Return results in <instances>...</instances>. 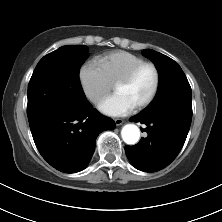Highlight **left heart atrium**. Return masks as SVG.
Here are the masks:
<instances>
[{
	"label": "left heart atrium",
	"instance_id": "left-heart-atrium-1",
	"mask_svg": "<svg viewBox=\"0 0 222 222\" xmlns=\"http://www.w3.org/2000/svg\"><path fill=\"white\" fill-rule=\"evenodd\" d=\"M134 104L124 95L115 93L98 103V109L105 115L112 117L125 116L134 110Z\"/></svg>",
	"mask_w": 222,
	"mask_h": 222
}]
</instances>
